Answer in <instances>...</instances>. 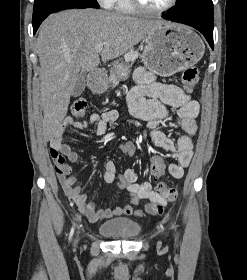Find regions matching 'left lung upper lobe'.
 <instances>
[{"label":"left lung upper lobe","mask_w":247,"mask_h":280,"mask_svg":"<svg viewBox=\"0 0 247 280\" xmlns=\"http://www.w3.org/2000/svg\"><path fill=\"white\" fill-rule=\"evenodd\" d=\"M174 14L213 13L212 0H179V4L171 10Z\"/></svg>","instance_id":"obj_1"}]
</instances>
